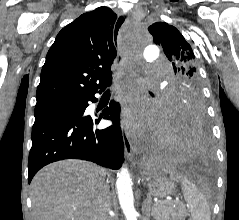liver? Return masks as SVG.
<instances>
[{
  "label": "liver",
  "instance_id": "liver-1",
  "mask_svg": "<svg viewBox=\"0 0 239 220\" xmlns=\"http://www.w3.org/2000/svg\"><path fill=\"white\" fill-rule=\"evenodd\" d=\"M106 174L76 159L44 167L30 186L34 220H96Z\"/></svg>",
  "mask_w": 239,
  "mask_h": 220
}]
</instances>
